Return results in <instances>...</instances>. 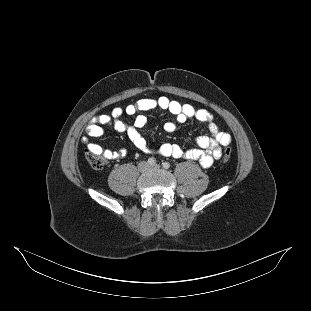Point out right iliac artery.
Masks as SVG:
<instances>
[{
  "label": "right iliac artery",
  "mask_w": 311,
  "mask_h": 311,
  "mask_svg": "<svg viewBox=\"0 0 311 311\" xmlns=\"http://www.w3.org/2000/svg\"><path fill=\"white\" fill-rule=\"evenodd\" d=\"M155 163H156L155 158L152 157V158H149V159H148V164H149V165H155Z\"/></svg>",
  "instance_id": "obj_1"
}]
</instances>
